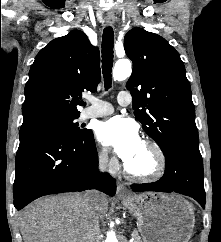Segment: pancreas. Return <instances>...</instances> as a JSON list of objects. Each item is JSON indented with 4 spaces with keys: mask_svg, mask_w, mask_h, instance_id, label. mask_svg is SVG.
<instances>
[{
    "mask_svg": "<svg viewBox=\"0 0 221 242\" xmlns=\"http://www.w3.org/2000/svg\"><path fill=\"white\" fill-rule=\"evenodd\" d=\"M132 237L134 238L133 242H143L141 237L139 236V234L136 231H134L132 233Z\"/></svg>",
    "mask_w": 221,
    "mask_h": 242,
    "instance_id": "pancreas-1",
    "label": "pancreas"
}]
</instances>
